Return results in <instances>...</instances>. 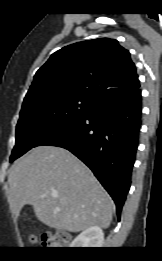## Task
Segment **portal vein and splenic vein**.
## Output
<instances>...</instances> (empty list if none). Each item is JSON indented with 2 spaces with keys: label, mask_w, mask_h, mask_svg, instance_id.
<instances>
[{
  "label": "portal vein and splenic vein",
  "mask_w": 162,
  "mask_h": 261,
  "mask_svg": "<svg viewBox=\"0 0 162 261\" xmlns=\"http://www.w3.org/2000/svg\"><path fill=\"white\" fill-rule=\"evenodd\" d=\"M53 196H54V197H57L58 195H57V194H54Z\"/></svg>",
  "instance_id": "18ae733b"
}]
</instances>
